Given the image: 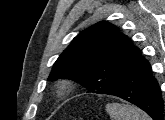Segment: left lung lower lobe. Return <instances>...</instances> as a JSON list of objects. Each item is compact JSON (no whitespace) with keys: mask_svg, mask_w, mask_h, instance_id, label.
Returning a JSON list of instances; mask_svg holds the SVG:
<instances>
[{"mask_svg":"<svg viewBox=\"0 0 165 120\" xmlns=\"http://www.w3.org/2000/svg\"><path fill=\"white\" fill-rule=\"evenodd\" d=\"M108 95L120 97L144 110L153 120H164L161 89L149 62L138 49L121 84Z\"/></svg>","mask_w":165,"mask_h":120,"instance_id":"obj_1","label":"left lung lower lobe"}]
</instances>
